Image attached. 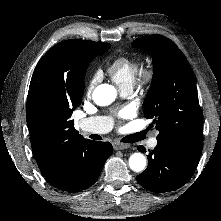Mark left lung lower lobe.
<instances>
[{
  "mask_svg": "<svg viewBox=\"0 0 221 221\" xmlns=\"http://www.w3.org/2000/svg\"><path fill=\"white\" fill-rule=\"evenodd\" d=\"M202 143L186 140H157L148 157V167L136 177L137 182L155 193L174 191L186 184L198 164ZM137 149L145 152L143 146Z\"/></svg>",
  "mask_w": 221,
  "mask_h": 221,
  "instance_id": "obj_1",
  "label": "left lung lower lobe"
}]
</instances>
